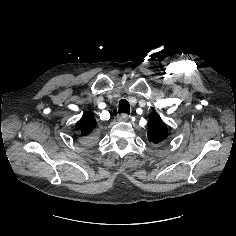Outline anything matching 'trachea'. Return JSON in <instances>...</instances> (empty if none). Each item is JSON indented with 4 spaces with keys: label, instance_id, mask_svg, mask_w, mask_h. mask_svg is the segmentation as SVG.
Here are the masks:
<instances>
[{
    "label": "trachea",
    "instance_id": "obj_1",
    "mask_svg": "<svg viewBox=\"0 0 236 236\" xmlns=\"http://www.w3.org/2000/svg\"><path fill=\"white\" fill-rule=\"evenodd\" d=\"M119 113L130 114V105L127 100L122 99L119 102Z\"/></svg>",
    "mask_w": 236,
    "mask_h": 236
}]
</instances>
